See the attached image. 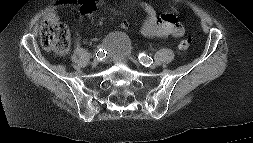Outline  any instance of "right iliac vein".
<instances>
[{
    "label": "right iliac vein",
    "mask_w": 253,
    "mask_h": 143,
    "mask_svg": "<svg viewBox=\"0 0 253 143\" xmlns=\"http://www.w3.org/2000/svg\"><path fill=\"white\" fill-rule=\"evenodd\" d=\"M98 65V60L97 59H94L93 61H92V66L93 67H96Z\"/></svg>",
    "instance_id": "1"
}]
</instances>
